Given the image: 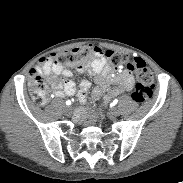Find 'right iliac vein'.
<instances>
[{"label": "right iliac vein", "mask_w": 183, "mask_h": 183, "mask_svg": "<svg viewBox=\"0 0 183 183\" xmlns=\"http://www.w3.org/2000/svg\"><path fill=\"white\" fill-rule=\"evenodd\" d=\"M69 109H71V107H67L66 110L68 111Z\"/></svg>", "instance_id": "obj_1"}]
</instances>
